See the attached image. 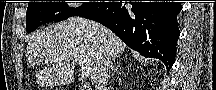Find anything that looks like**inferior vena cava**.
Masks as SVG:
<instances>
[{
	"instance_id": "1",
	"label": "inferior vena cava",
	"mask_w": 216,
	"mask_h": 90,
	"mask_svg": "<svg viewBox=\"0 0 216 90\" xmlns=\"http://www.w3.org/2000/svg\"><path fill=\"white\" fill-rule=\"evenodd\" d=\"M109 60L110 58H107L106 56V58H103V60H101L97 66V70L95 72V90H107Z\"/></svg>"
}]
</instances>
